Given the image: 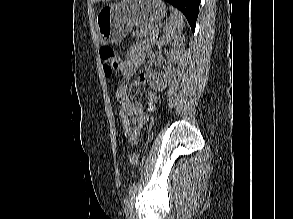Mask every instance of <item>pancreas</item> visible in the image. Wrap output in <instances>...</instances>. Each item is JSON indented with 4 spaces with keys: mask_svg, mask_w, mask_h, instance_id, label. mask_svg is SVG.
Here are the masks:
<instances>
[{
    "mask_svg": "<svg viewBox=\"0 0 293 219\" xmlns=\"http://www.w3.org/2000/svg\"><path fill=\"white\" fill-rule=\"evenodd\" d=\"M159 34V28L156 25H147L145 27H142L140 32L136 31L133 33V36L135 37H150L151 42H155L157 36Z\"/></svg>",
    "mask_w": 293,
    "mask_h": 219,
    "instance_id": "cf45deb5",
    "label": "pancreas"
}]
</instances>
